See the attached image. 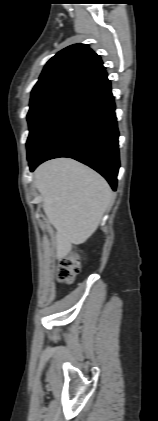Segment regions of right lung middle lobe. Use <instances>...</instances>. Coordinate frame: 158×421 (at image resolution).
<instances>
[{
    "label": "right lung middle lobe",
    "mask_w": 158,
    "mask_h": 421,
    "mask_svg": "<svg viewBox=\"0 0 158 421\" xmlns=\"http://www.w3.org/2000/svg\"><path fill=\"white\" fill-rule=\"evenodd\" d=\"M79 87L74 83H60L32 92L27 115L30 130L27 140L28 158L55 114Z\"/></svg>",
    "instance_id": "1"
}]
</instances>
